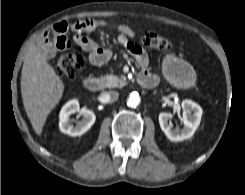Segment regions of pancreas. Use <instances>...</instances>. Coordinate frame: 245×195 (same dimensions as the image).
Masks as SVG:
<instances>
[{
  "instance_id": "pancreas-1",
  "label": "pancreas",
  "mask_w": 245,
  "mask_h": 195,
  "mask_svg": "<svg viewBox=\"0 0 245 195\" xmlns=\"http://www.w3.org/2000/svg\"><path fill=\"white\" fill-rule=\"evenodd\" d=\"M102 82L107 88H121L126 84V80L123 77L119 78L116 75L112 74L102 77Z\"/></svg>"
}]
</instances>
